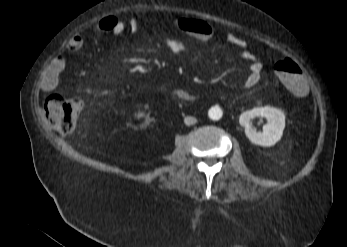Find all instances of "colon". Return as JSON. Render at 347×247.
<instances>
[{
	"instance_id": "5ec220e1",
	"label": "colon",
	"mask_w": 347,
	"mask_h": 247,
	"mask_svg": "<svg viewBox=\"0 0 347 247\" xmlns=\"http://www.w3.org/2000/svg\"><path fill=\"white\" fill-rule=\"evenodd\" d=\"M275 77L293 94L304 96L307 93V82L304 72L292 59L286 58L274 65ZM82 102L79 99L65 98L58 94L50 95L45 102L47 121L58 132L71 133L78 122Z\"/></svg>"
}]
</instances>
